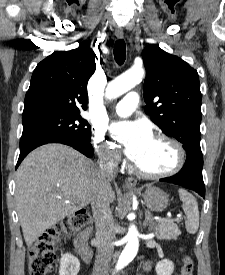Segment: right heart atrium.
<instances>
[{
  "label": "right heart atrium",
  "mask_w": 225,
  "mask_h": 275,
  "mask_svg": "<svg viewBox=\"0 0 225 275\" xmlns=\"http://www.w3.org/2000/svg\"><path fill=\"white\" fill-rule=\"evenodd\" d=\"M93 145L105 163L116 165L120 161L119 154L112 144L106 139L102 129H95L93 132Z\"/></svg>",
  "instance_id": "right-heart-atrium-1"
}]
</instances>
